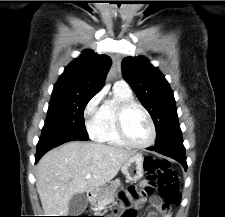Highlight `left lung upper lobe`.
<instances>
[{
    "instance_id": "5c2ea615",
    "label": "left lung upper lobe",
    "mask_w": 225,
    "mask_h": 217,
    "mask_svg": "<svg viewBox=\"0 0 225 217\" xmlns=\"http://www.w3.org/2000/svg\"><path fill=\"white\" fill-rule=\"evenodd\" d=\"M122 71L124 79L153 119L155 145L181 137L173 92L161 72L144 57L124 58Z\"/></svg>"
}]
</instances>
